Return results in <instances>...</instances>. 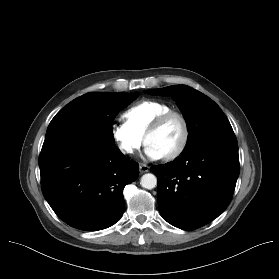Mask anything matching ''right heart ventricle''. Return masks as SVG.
Here are the masks:
<instances>
[{
	"label": "right heart ventricle",
	"instance_id": "e07e8e85",
	"mask_svg": "<svg viewBox=\"0 0 279 279\" xmlns=\"http://www.w3.org/2000/svg\"><path fill=\"white\" fill-rule=\"evenodd\" d=\"M171 110V107L158 100L144 99L128 108L123 117L126 123L141 137L150 124L162 113Z\"/></svg>",
	"mask_w": 279,
	"mask_h": 279
}]
</instances>
